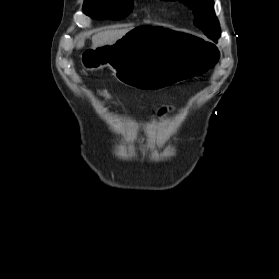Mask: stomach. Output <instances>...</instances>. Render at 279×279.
Here are the masks:
<instances>
[{
    "label": "stomach",
    "instance_id": "0dacf381",
    "mask_svg": "<svg viewBox=\"0 0 279 279\" xmlns=\"http://www.w3.org/2000/svg\"><path fill=\"white\" fill-rule=\"evenodd\" d=\"M104 50H83L87 75H108L106 64L133 91H167L181 82H205L217 63V49L196 34L169 25H135ZM172 49V50H147Z\"/></svg>",
    "mask_w": 279,
    "mask_h": 279
}]
</instances>
